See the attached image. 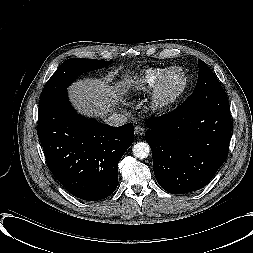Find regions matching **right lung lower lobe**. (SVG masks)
Returning <instances> with one entry per match:
<instances>
[{"instance_id":"obj_1","label":"right lung lower lobe","mask_w":253,"mask_h":253,"mask_svg":"<svg viewBox=\"0 0 253 253\" xmlns=\"http://www.w3.org/2000/svg\"><path fill=\"white\" fill-rule=\"evenodd\" d=\"M47 165L73 196L95 201L117 188L118 162L134 140L132 123L112 127L78 115L67 92L38 113Z\"/></svg>"}]
</instances>
